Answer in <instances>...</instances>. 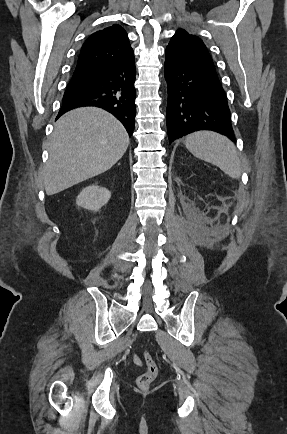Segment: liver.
<instances>
[{
	"label": "liver",
	"instance_id": "1",
	"mask_svg": "<svg viewBox=\"0 0 287 434\" xmlns=\"http://www.w3.org/2000/svg\"><path fill=\"white\" fill-rule=\"evenodd\" d=\"M129 136L110 113L83 107L65 113L54 125L42 178L47 195L57 194L115 165Z\"/></svg>",
	"mask_w": 287,
	"mask_h": 434
}]
</instances>
